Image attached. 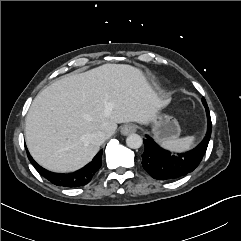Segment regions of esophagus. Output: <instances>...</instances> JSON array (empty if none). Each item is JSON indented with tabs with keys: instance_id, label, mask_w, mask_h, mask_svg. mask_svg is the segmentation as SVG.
I'll use <instances>...</instances> for the list:
<instances>
[{
	"instance_id": "esophagus-1",
	"label": "esophagus",
	"mask_w": 241,
	"mask_h": 241,
	"mask_svg": "<svg viewBox=\"0 0 241 241\" xmlns=\"http://www.w3.org/2000/svg\"><path fill=\"white\" fill-rule=\"evenodd\" d=\"M120 131H121V134L123 135H129L136 131V127L132 124H126L121 127Z\"/></svg>"
}]
</instances>
